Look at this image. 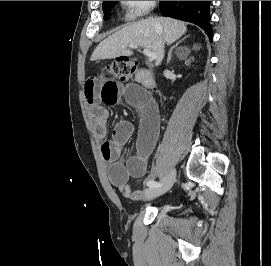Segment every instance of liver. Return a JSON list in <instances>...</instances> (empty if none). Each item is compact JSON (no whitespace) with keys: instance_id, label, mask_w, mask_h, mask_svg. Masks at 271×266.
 Segmentation results:
<instances>
[{"instance_id":"1","label":"liver","mask_w":271,"mask_h":266,"mask_svg":"<svg viewBox=\"0 0 271 266\" xmlns=\"http://www.w3.org/2000/svg\"><path fill=\"white\" fill-rule=\"evenodd\" d=\"M187 31L182 21L168 17H149L127 26L99 43L94 50L91 61L130 56L129 44L144 47L156 54V65L164 57V46L179 39Z\"/></svg>"}]
</instances>
